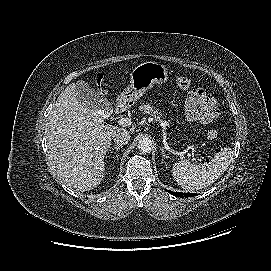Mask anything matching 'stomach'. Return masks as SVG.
I'll list each match as a JSON object with an SVG mask.
<instances>
[{"label":"stomach","mask_w":271,"mask_h":271,"mask_svg":"<svg viewBox=\"0 0 271 271\" xmlns=\"http://www.w3.org/2000/svg\"><path fill=\"white\" fill-rule=\"evenodd\" d=\"M130 77V84L117 99L118 103L125 106L135 103L154 85L165 83L168 79V71L164 65L149 61L135 67Z\"/></svg>","instance_id":"obj_1"}]
</instances>
